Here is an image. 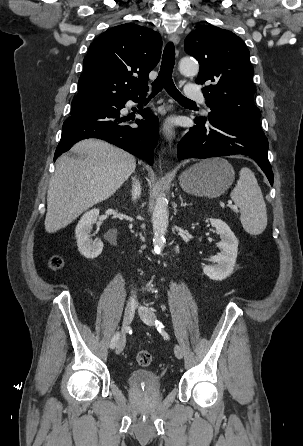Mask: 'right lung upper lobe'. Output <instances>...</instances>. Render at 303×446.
I'll list each match as a JSON object with an SVG mask.
<instances>
[{"mask_svg": "<svg viewBox=\"0 0 303 446\" xmlns=\"http://www.w3.org/2000/svg\"><path fill=\"white\" fill-rule=\"evenodd\" d=\"M161 47L160 34L150 28L126 23L108 29L89 47L75 99L93 109L146 93L148 74L160 60Z\"/></svg>", "mask_w": 303, "mask_h": 446, "instance_id": "cb5924a9", "label": "right lung upper lobe"}]
</instances>
